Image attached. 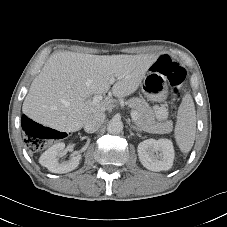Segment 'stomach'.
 <instances>
[{"mask_svg":"<svg viewBox=\"0 0 227 227\" xmlns=\"http://www.w3.org/2000/svg\"><path fill=\"white\" fill-rule=\"evenodd\" d=\"M143 94L153 102L164 101L168 95V85L164 76L156 71H149L141 83Z\"/></svg>","mask_w":227,"mask_h":227,"instance_id":"0dacf381","label":"stomach"}]
</instances>
